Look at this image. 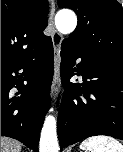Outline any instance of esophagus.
<instances>
[{
  "label": "esophagus",
  "mask_w": 123,
  "mask_h": 152,
  "mask_svg": "<svg viewBox=\"0 0 123 152\" xmlns=\"http://www.w3.org/2000/svg\"><path fill=\"white\" fill-rule=\"evenodd\" d=\"M54 14H55V5L52 3L50 13H49V25L52 27V43H53V49H54V76L51 86V97L54 99L58 88V78H59V71H60V64H61V57H60V51H61V43H62V35L58 33L54 28Z\"/></svg>",
  "instance_id": "obj_1"
}]
</instances>
